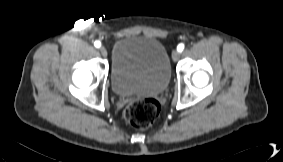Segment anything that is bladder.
<instances>
[{
	"label": "bladder",
	"instance_id": "31cf9c89",
	"mask_svg": "<svg viewBox=\"0 0 283 162\" xmlns=\"http://www.w3.org/2000/svg\"><path fill=\"white\" fill-rule=\"evenodd\" d=\"M170 76L169 54L158 39L129 35L113 45L110 79L116 95L161 94L166 90Z\"/></svg>",
	"mask_w": 283,
	"mask_h": 162
}]
</instances>
